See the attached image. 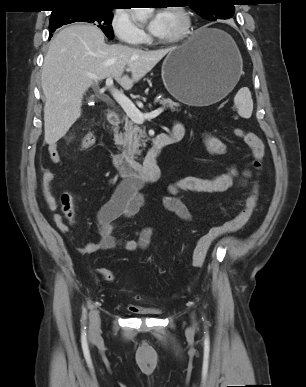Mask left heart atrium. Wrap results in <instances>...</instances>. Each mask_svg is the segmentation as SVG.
Listing matches in <instances>:
<instances>
[{"mask_svg":"<svg viewBox=\"0 0 306 387\" xmlns=\"http://www.w3.org/2000/svg\"><path fill=\"white\" fill-rule=\"evenodd\" d=\"M165 27L164 12L157 13L149 22V31L156 37L160 36Z\"/></svg>","mask_w":306,"mask_h":387,"instance_id":"obj_1","label":"left heart atrium"}]
</instances>
